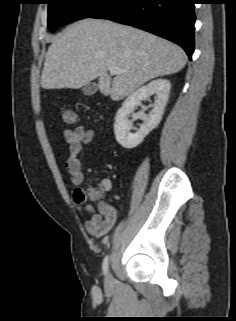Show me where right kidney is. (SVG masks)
Returning <instances> with one entry per match:
<instances>
[{
	"instance_id": "1",
	"label": "right kidney",
	"mask_w": 236,
	"mask_h": 321,
	"mask_svg": "<svg viewBox=\"0 0 236 321\" xmlns=\"http://www.w3.org/2000/svg\"><path fill=\"white\" fill-rule=\"evenodd\" d=\"M170 89V81L166 79H156L140 87L125 99L122 107L117 111L114 123L115 138L122 147L127 149L137 147L143 139L158 126L169 98ZM154 94H156V98L150 106L153 109L148 115L144 112L148 108L145 106H142V111L133 113L136 106L141 105L142 101ZM131 113L134 120L141 119L143 121L140 128L133 133L130 132L132 122L128 119Z\"/></svg>"
}]
</instances>
